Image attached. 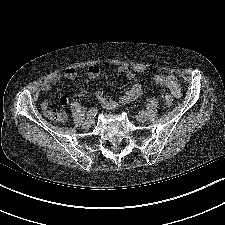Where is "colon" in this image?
<instances>
[{
  "mask_svg": "<svg viewBox=\"0 0 225 225\" xmlns=\"http://www.w3.org/2000/svg\"><path fill=\"white\" fill-rule=\"evenodd\" d=\"M172 102H173L172 96L170 94H165L164 95V105H165V107H167V108L170 107L171 104H172ZM52 118L55 121L60 122V121H62L64 119V116L63 115H60L58 113H55Z\"/></svg>",
  "mask_w": 225,
  "mask_h": 225,
  "instance_id": "1",
  "label": "colon"
}]
</instances>
